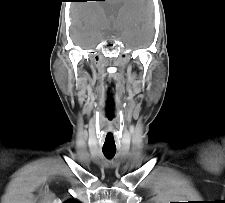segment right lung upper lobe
Masks as SVG:
<instances>
[{
  "mask_svg": "<svg viewBox=\"0 0 225 203\" xmlns=\"http://www.w3.org/2000/svg\"><path fill=\"white\" fill-rule=\"evenodd\" d=\"M65 203H78V202H76V201H74V200H68V201H66Z\"/></svg>",
  "mask_w": 225,
  "mask_h": 203,
  "instance_id": "1",
  "label": "right lung upper lobe"
}]
</instances>
